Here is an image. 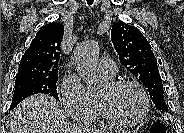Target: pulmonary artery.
<instances>
[{
    "instance_id": "obj_1",
    "label": "pulmonary artery",
    "mask_w": 184,
    "mask_h": 133,
    "mask_svg": "<svg viewBox=\"0 0 184 133\" xmlns=\"http://www.w3.org/2000/svg\"><path fill=\"white\" fill-rule=\"evenodd\" d=\"M100 70L108 77H113L117 73V67L110 57H102L99 61Z\"/></svg>"
}]
</instances>
